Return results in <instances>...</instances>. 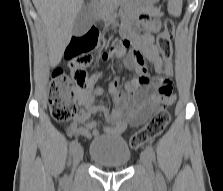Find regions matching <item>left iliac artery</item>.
Returning <instances> with one entry per match:
<instances>
[{"label":"left iliac artery","instance_id":"obj_1","mask_svg":"<svg viewBox=\"0 0 223 191\" xmlns=\"http://www.w3.org/2000/svg\"><path fill=\"white\" fill-rule=\"evenodd\" d=\"M145 151L148 153V155H149V157L153 160V161H155V152H154V150H153V148L150 146V145H147L146 146V149H145ZM157 179H158V182H159V184L161 185V186H163L165 183H164V179H163V177H162V175H161V173H157Z\"/></svg>","mask_w":223,"mask_h":191}]
</instances>
